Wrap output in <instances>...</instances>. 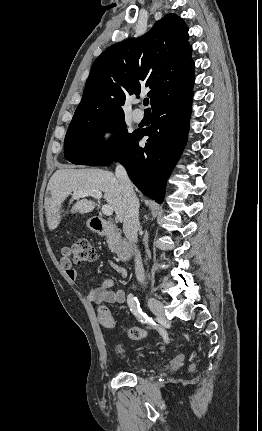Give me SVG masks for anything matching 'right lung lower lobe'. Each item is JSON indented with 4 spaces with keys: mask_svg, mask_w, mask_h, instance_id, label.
<instances>
[{
    "mask_svg": "<svg viewBox=\"0 0 262 431\" xmlns=\"http://www.w3.org/2000/svg\"><path fill=\"white\" fill-rule=\"evenodd\" d=\"M193 92L162 103L153 109L152 125L136 131L122 154L120 162L137 188L158 203L164 200L166 181L185 144L191 114ZM149 136L144 148L138 141Z\"/></svg>",
    "mask_w": 262,
    "mask_h": 431,
    "instance_id": "right-lung-lower-lobe-1",
    "label": "right lung lower lobe"
}]
</instances>
